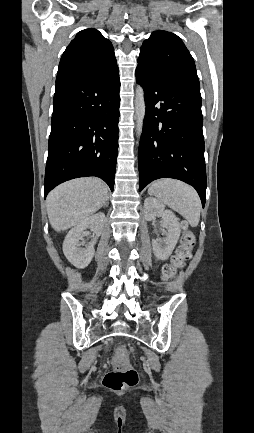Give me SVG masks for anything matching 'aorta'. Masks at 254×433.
Segmentation results:
<instances>
[{
  "label": "aorta",
  "mask_w": 254,
  "mask_h": 433,
  "mask_svg": "<svg viewBox=\"0 0 254 433\" xmlns=\"http://www.w3.org/2000/svg\"><path fill=\"white\" fill-rule=\"evenodd\" d=\"M146 112V105L144 99V90L141 86H137L135 93V118H136V132L138 137L142 134L143 121Z\"/></svg>",
  "instance_id": "1"
}]
</instances>
